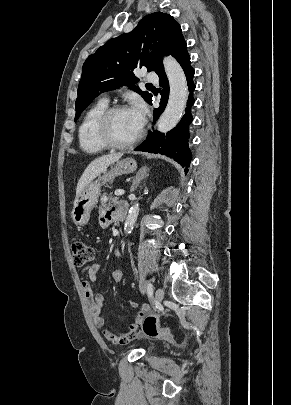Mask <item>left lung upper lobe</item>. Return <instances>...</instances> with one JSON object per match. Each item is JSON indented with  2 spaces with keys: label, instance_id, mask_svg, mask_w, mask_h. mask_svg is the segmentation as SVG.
<instances>
[{
  "label": "left lung upper lobe",
  "instance_id": "obj_1",
  "mask_svg": "<svg viewBox=\"0 0 291 405\" xmlns=\"http://www.w3.org/2000/svg\"><path fill=\"white\" fill-rule=\"evenodd\" d=\"M183 39L181 27L174 18L156 12L145 16L132 32L112 38L98 48L82 68L75 121L95 97L114 89L129 87L149 103L152 95L134 85L139 80L134 69L145 66L148 71H156L163 66L162 55H171ZM146 47L158 51L148 53Z\"/></svg>",
  "mask_w": 291,
  "mask_h": 405
}]
</instances>
